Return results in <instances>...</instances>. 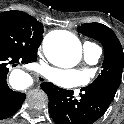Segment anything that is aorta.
Segmentation results:
<instances>
[{"label":"aorta","instance_id":"762f6f07","mask_svg":"<svg viewBox=\"0 0 124 124\" xmlns=\"http://www.w3.org/2000/svg\"><path fill=\"white\" fill-rule=\"evenodd\" d=\"M43 52L52 64L67 68L73 67L79 62L82 46L74 34L68 31L55 30L44 37Z\"/></svg>","mask_w":124,"mask_h":124}]
</instances>
